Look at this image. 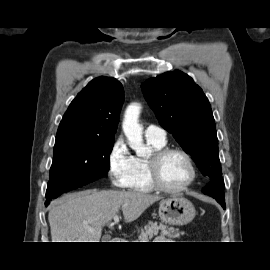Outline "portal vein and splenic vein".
Segmentation results:
<instances>
[{"label": "portal vein and splenic vein", "instance_id": "portal-vein-and-splenic-vein-1", "mask_svg": "<svg viewBox=\"0 0 270 270\" xmlns=\"http://www.w3.org/2000/svg\"><path fill=\"white\" fill-rule=\"evenodd\" d=\"M113 219H114L115 222H118L119 221V216L118 215H114Z\"/></svg>", "mask_w": 270, "mask_h": 270}]
</instances>
